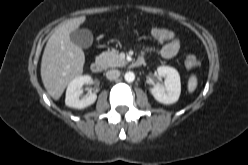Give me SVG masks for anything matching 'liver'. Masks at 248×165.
Masks as SVG:
<instances>
[{"label":"liver","mask_w":248,"mask_h":165,"mask_svg":"<svg viewBox=\"0 0 248 165\" xmlns=\"http://www.w3.org/2000/svg\"><path fill=\"white\" fill-rule=\"evenodd\" d=\"M86 20L85 16L69 19L55 28L50 36L41 61V78L48 94L58 100L66 86L83 73L85 55L73 43L70 34Z\"/></svg>","instance_id":"1"}]
</instances>
